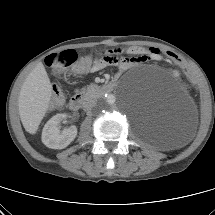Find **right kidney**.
I'll return each instance as SVG.
<instances>
[{"label":"right kidney","instance_id":"ca27d5eb","mask_svg":"<svg viewBox=\"0 0 215 215\" xmlns=\"http://www.w3.org/2000/svg\"><path fill=\"white\" fill-rule=\"evenodd\" d=\"M66 117V114H57L45 124L42 131V142L48 148L64 149L76 138L77 128L75 126L60 130V124Z\"/></svg>","mask_w":215,"mask_h":215}]
</instances>
